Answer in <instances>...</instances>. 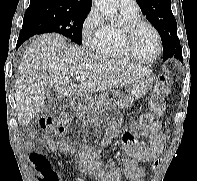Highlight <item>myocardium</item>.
Returning a JSON list of instances; mask_svg holds the SVG:
<instances>
[{
    "label": "myocardium",
    "instance_id": "f54148a6",
    "mask_svg": "<svg viewBox=\"0 0 197 181\" xmlns=\"http://www.w3.org/2000/svg\"><path fill=\"white\" fill-rule=\"evenodd\" d=\"M144 26L151 29V31L154 33L157 39V44H158V50H157L156 55L150 59H146V58H142L138 56L133 47V40H134L136 32L141 27H144ZM120 39H121V44L124 50L131 57V59H134L141 63L150 64V63L156 62L160 58L162 51H163V44H162L160 33L158 32V30L153 24L142 19H137V20L130 21V22L123 24L120 30Z\"/></svg>",
    "mask_w": 197,
    "mask_h": 181
}]
</instances>
